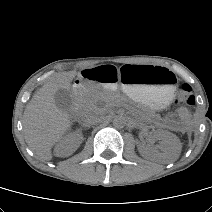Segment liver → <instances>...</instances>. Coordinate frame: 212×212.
Wrapping results in <instances>:
<instances>
[{
    "instance_id": "1",
    "label": "liver",
    "mask_w": 212,
    "mask_h": 212,
    "mask_svg": "<svg viewBox=\"0 0 212 212\" xmlns=\"http://www.w3.org/2000/svg\"><path fill=\"white\" fill-rule=\"evenodd\" d=\"M76 72H62L35 92L23 114L25 140L41 159L51 160V148L71 127L69 115L59 109L54 95L59 89H69Z\"/></svg>"
}]
</instances>
